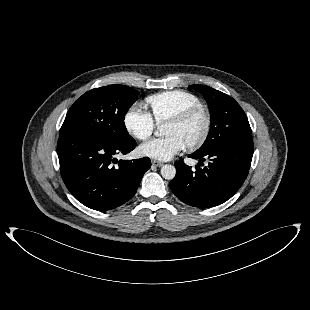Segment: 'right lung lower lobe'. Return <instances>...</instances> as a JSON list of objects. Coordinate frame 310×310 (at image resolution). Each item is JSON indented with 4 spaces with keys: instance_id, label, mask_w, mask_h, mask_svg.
Returning <instances> with one entry per match:
<instances>
[{
    "instance_id": "obj_1",
    "label": "right lung lower lobe",
    "mask_w": 310,
    "mask_h": 310,
    "mask_svg": "<svg viewBox=\"0 0 310 310\" xmlns=\"http://www.w3.org/2000/svg\"><path fill=\"white\" fill-rule=\"evenodd\" d=\"M135 147L133 138L113 142L81 134L60 136L57 154L66 187L91 209L104 211L124 204L136 193L143 174L151 166L148 157L133 161L114 158Z\"/></svg>"
}]
</instances>
